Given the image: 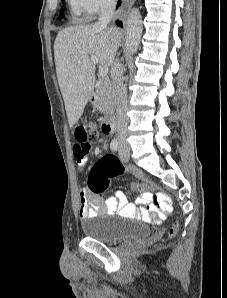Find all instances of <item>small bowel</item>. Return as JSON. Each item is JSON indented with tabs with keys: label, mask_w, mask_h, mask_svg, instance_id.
<instances>
[{
	"label": "small bowel",
	"mask_w": 227,
	"mask_h": 298,
	"mask_svg": "<svg viewBox=\"0 0 227 298\" xmlns=\"http://www.w3.org/2000/svg\"><path fill=\"white\" fill-rule=\"evenodd\" d=\"M71 143L74 151L72 158L76 159L77 168L82 170L87 162L88 151H92L93 142H80L79 139H72ZM141 192L142 194L137 198L136 204H133L128 202L125 193L121 190H117L113 196L104 200L100 194L93 193L88 188H81L79 192V216L81 219H87L106 213L128 218L139 217L144 220H151L152 215L164 217V213L154 207L155 193L152 190ZM166 211H171L170 205Z\"/></svg>",
	"instance_id": "small-bowel-1"
}]
</instances>
